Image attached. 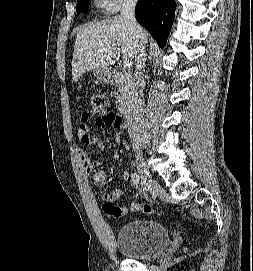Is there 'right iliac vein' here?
Returning a JSON list of instances; mask_svg holds the SVG:
<instances>
[{
  "instance_id": "obj_1",
  "label": "right iliac vein",
  "mask_w": 253,
  "mask_h": 271,
  "mask_svg": "<svg viewBox=\"0 0 253 271\" xmlns=\"http://www.w3.org/2000/svg\"><path fill=\"white\" fill-rule=\"evenodd\" d=\"M136 162H137V169L139 176L141 178L142 185L145 187L146 190L156 188L157 183L153 179L152 175L150 174L147 165L143 160L142 153L138 152L136 154Z\"/></svg>"
}]
</instances>
